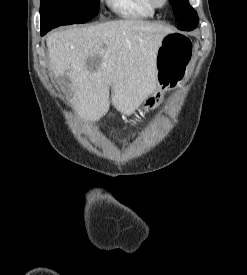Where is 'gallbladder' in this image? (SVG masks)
Listing matches in <instances>:
<instances>
[{
    "instance_id": "1",
    "label": "gallbladder",
    "mask_w": 247,
    "mask_h": 275,
    "mask_svg": "<svg viewBox=\"0 0 247 275\" xmlns=\"http://www.w3.org/2000/svg\"><path fill=\"white\" fill-rule=\"evenodd\" d=\"M58 79H59L60 84L62 85V88L68 86V84H69V79H68V77L63 76V77H60V78H58Z\"/></svg>"
}]
</instances>
